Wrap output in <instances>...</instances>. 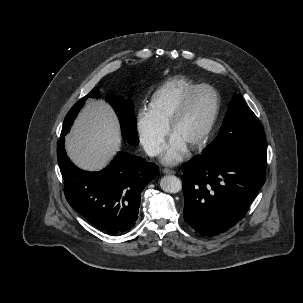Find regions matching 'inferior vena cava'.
Listing matches in <instances>:
<instances>
[{
    "label": "inferior vena cava",
    "instance_id": "inferior-vena-cava-1",
    "mask_svg": "<svg viewBox=\"0 0 303 303\" xmlns=\"http://www.w3.org/2000/svg\"><path fill=\"white\" fill-rule=\"evenodd\" d=\"M145 151L149 156H156L160 153V148L157 144H148L145 146Z\"/></svg>",
    "mask_w": 303,
    "mask_h": 303
}]
</instances>
